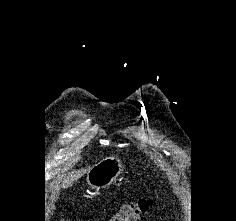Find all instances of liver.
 Instances as JSON below:
<instances>
[{"mask_svg": "<svg viewBox=\"0 0 236 221\" xmlns=\"http://www.w3.org/2000/svg\"><path fill=\"white\" fill-rule=\"evenodd\" d=\"M88 169L81 168L80 170H76L71 172L65 179V185L69 186L73 184L75 181H77L81 176H83Z\"/></svg>", "mask_w": 236, "mask_h": 221, "instance_id": "obj_1", "label": "liver"}]
</instances>
